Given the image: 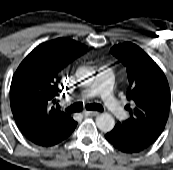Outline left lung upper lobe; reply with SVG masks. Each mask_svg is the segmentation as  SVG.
<instances>
[{"mask_svg":"<svg viewBox=\"0 0 173 170\" xmlns=\"http://www.w3.org/2000/svg\"><path fill=\"white\" fill-rule=\"evenodd\" d=\"M127 68L129 88L125 108L130 117L115 127L150 146L165 128L170 109L168 81L159 66L137 45L125 42L111 48Z\"/></svg>","mask_w":173,"mask_h":170,"instance_id":"left-lung-upper-lobe-1","label":"left lung upper lobe"}]
</instances>
